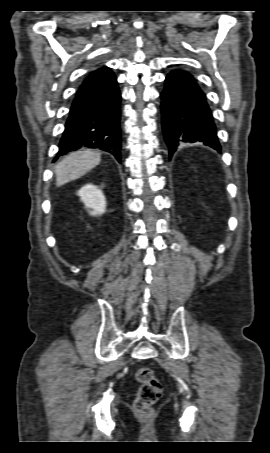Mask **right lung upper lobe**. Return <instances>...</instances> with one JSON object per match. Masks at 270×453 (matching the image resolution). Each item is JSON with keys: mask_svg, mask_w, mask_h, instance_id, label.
Instances as JSON below:
<instances>
[{"mask_svg": "<svg viewBox=\"0 0 270 453\" xmlns=\"http://www.w3.org/2000/svg\"><path fill=\"white\" fill-rule=\"evenodd\" d=\"M103 68H104V67H103ZM103 68H100V69H98V70H95V71L91 72V73L89 74L88 78L91 77V76H93V75H95V74H97V73H99Z\"/></svg>", "mask_w": 270, "mask_h": 453, "instance_id": "1", "label": "right lung upper lobe"}]
</instances>
